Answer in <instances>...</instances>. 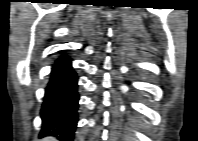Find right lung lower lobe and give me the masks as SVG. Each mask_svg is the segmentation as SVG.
Listing matches in <instances>:
<instances>
[{"label":"right lung lower lobe","mask_w":198,"mask_h":141,"mask_svg":"<svg viewBox=\"0 0 198 141\" xmlns=\"http://www.w3.org/2000/svg\"><path fill=\"white\" fill-rule=\"evenodd\" d=\"M78 101V76L64 55L55 61L45 89L40 137L71 141L78 121Z\"/></svg>","instance_id":"obj_1"}]
</instances>
